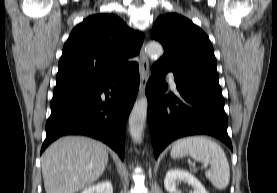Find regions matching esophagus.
<instances>
[{
  "label": "esophagus",
  "mask_w": 277,
  "mask_h": 193,
  "mask_svg": "<svg viewBox=\"0 0 277 193\" xmlns=\"http://www.w3.org/2000/svg\"><path fill=\"white\" fill-rule=\"evenodd\" d=\"M139 69H140V86L139 96H143L145 93L146 85L149 80V60L145 53V42L143 43L139 53Z\"/></svg>",
  "instance_id": "obj_1"
}]
</instances>
